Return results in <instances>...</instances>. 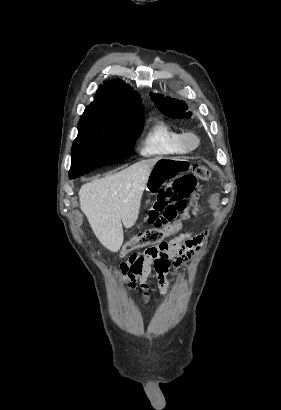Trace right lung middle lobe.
<instances>
[{
    "label": "right lung middle lobe",
    "instance_id": "right-lung-middle-lobe-1",
    "mask_svg": "<svg viewBox=\"0 0 281 410\" xmlns=\"http://www.w3.org/2000/svg\"><path fill=\"white\" fill-rule=\"evenodd\" d=\"M143 116L130 120L104 119L83 113L72 146L70 178L126 159L142 132Z\"/></svg>",
    "mask_w": 281,
    "mask_h": 410
}]
</instances>
